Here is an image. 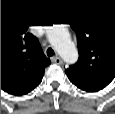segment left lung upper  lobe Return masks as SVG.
Instances as JSON below:
<instances>
[{"instance_id":"left-lung-upper-lobe-1","label":"left lung upper lobe","mask_w":115,"mask_h":114,"mask_svg":"<svg viewBox=\"0 0 115 114\" xmlns=\"http://www.w3.org/2000/svg\"><path fill=\"white\" fill-rule=\"evenodd\" d=\"M79 59L65 70L78 88L101 90L115 78V17L88 14L69 22Z\"/></svg>"}]
</instances>
